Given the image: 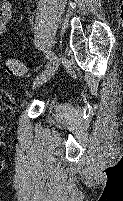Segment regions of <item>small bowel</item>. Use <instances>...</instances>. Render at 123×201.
<instances>
[{"label":"small bowel","instance_id":"c3829d8e","mask_svg":"<svg viewBox=\"0 0 123 201\" xmlns=\"http://www.w3.org/2000/svg\"><path fill=\"white\" fill-rule=\"evenodd\" d=\"M13 5L11 1L5 0L0 7V35L5 33L12 18Z\"/></svg>","mask_w":123,"mask_h":201}]
</instances>
